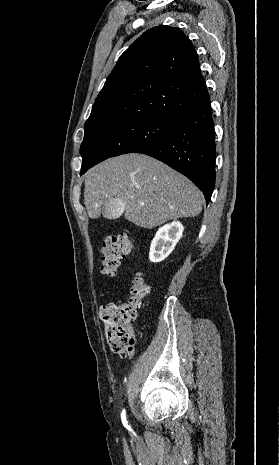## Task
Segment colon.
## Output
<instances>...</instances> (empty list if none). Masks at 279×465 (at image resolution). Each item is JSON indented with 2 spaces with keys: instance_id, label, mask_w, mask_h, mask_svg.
<instances>
[{
  "instance_id": "5ec220e1",
  "label": "colon",
  "mask_w": 279,
  "mask_h": 465,
  "mask_svg": "<svg viewBox=\"0 0 279 465\" xmlns=\"http://www.w3.org/2000/svg\"><path fill=\"white\" fill-rule=\"evenodd\" d=\"M133 242L125 234L105 238L102 246L101 272L114 277L120 263L133 250ZM149 282L137 273L131 280L127 302L104 305L100 309L101 320L105 324V337L112 351L127 355L133 349L131 324L136 318L137 309L150 293Z\"/></svg>"
}]
</instances>
